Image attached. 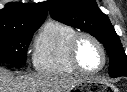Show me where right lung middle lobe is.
Instances as JSON below:
<instances>
[{"label": "right lung middle lobe", "mask_w": 127, "mask_h": 92, "mask_svg": "<svg viewBox=\"0 0 127 92\" xmlns=\"http://www.w3.org/2000/svg\"><path fill=\"white\" fill-rule=\"evenodd\" d=\"M39 27L0 32V63L25 64L29 43Z\"/></svg>", "instance_id": "1"}]
</instances>
